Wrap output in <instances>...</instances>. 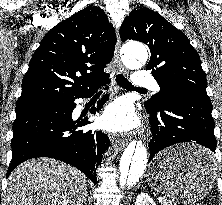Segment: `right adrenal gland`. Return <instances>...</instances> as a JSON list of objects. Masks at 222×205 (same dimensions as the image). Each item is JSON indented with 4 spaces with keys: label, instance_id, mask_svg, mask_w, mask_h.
Segmentation results:
<instances>
[{
    "label": "right adrenal gland",
    "instance_id": "2a0ac1e0",
    "mask_svg": "<svg viewBox=\"0 0 222 205\" xmlns=\"http://www.w3.org/2000/svg\"><path fill=\"white\" fill-rule=\"evenodd\" d=\"M86 204H87V195H86V197L84 199V205H86Z\"/></svg>",
    "mask_w": 222,
    "mask_h": 205
}]
</instances>
